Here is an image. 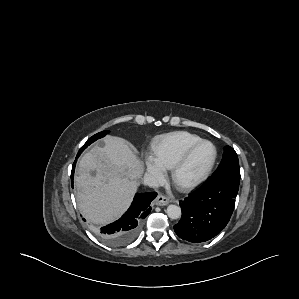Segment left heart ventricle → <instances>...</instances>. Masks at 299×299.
<instances>
[{
	"label": "left heart ventricle",
	"instance_id": "b2bd125f",
	"mask_svg": "<svg viewBox=\"0 0 299 299\" xmlns=\"http://www.w3.org/2000/svg\"><path fill=\"white\" fill-rule=\"evenodd\" d=\"M213 148L209 144L202 145L192 156L190 162L183 170L181 178L191 180L202 174L213 158Z\"/></svg>",
	"mask_w": 299,
	"mask_h": 299
}]
</instances>
